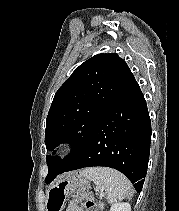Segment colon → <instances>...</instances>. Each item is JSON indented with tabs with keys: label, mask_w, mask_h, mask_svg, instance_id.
I'll return each mask as SVG.
<instances>
[{
	"label": "colon",
	"mask_w": 179,
	"mask_h": 211,
	"mask_svg": "<svg viewBox=\"0 0 179 211\" xmlns=\"http://www.w3.org/2000/svg\"><path fill=\"white\" fill-rule=\"evenodd\" d=\"M75 185L80 190H84L86 188L83 182H76ZM68 193L69 186L65 184L52 190L48 200L49 211H60ZM84 207L86 211H99L96 203L90 198H86L84 200Z\"/></svg>",
	"instance_id": "5ec220e1"
}]
</instances>
